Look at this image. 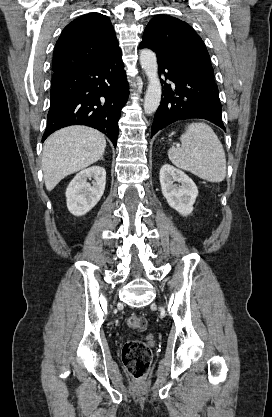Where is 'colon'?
Returning <instances> with one entry per match:
<instances>
[{
  "label": "colon",
  "instance_id": "5ec220e1",
  "mask_svg": "<svg viewBox=\"0 0 272 417\" xmlns=\"http://www.w3.org/2000/svg\"><path fill=\"white\" fill-rule=\"evenodd\" d=\"M130 330L140 331L146 327V319L139 315H131L127 319ZM151 360L149 347L141 340H130L122 349V361L127 372L136 380L146 374Z\"/></svg>",
  "mask_w": 272,
  "mask_h": 417
}]
</instances>
